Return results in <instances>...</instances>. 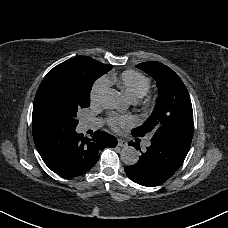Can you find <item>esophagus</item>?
I'll list each match as a JSON object with an SVG mask.
<instances>
[{"mask_svg":"<svg viewBox=\"0 0 228 228\" xmlns=\"http://www.w3.org/2000/svg\"><path fill=\"white\" fill-rule=\"evenodd\" d=\"M117 145H118L119 147H126V146L128 145V143H127L125 140H123V139H121V138H118V143H117Z\"/></svg>","mask_w":228,"mask_h":228,"instance_id":"1","label":"esophagus"}]
</instances>
